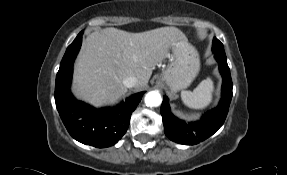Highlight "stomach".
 <instances>
[{
    "mask_svg": "<svg viewBox=\"0 0 287 175\" xmlns=\"http://www.w3.org/2000/svg\"><path fill=\"white\" fill-rule=\"evenodd\" d=\"M169 66L162 72L161 81L171 92L187 88L200 70L197 50L186 40L177 41L171 47Z\"/></svg>",
    "mask_w": 287,
    "mask_h": 175,
    "instance_id": "1",
    "label": "stomach"
}]
</instances>
